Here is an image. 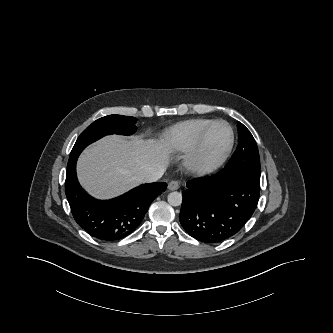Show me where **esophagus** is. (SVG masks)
Returning a JSON list of instances; mask_svg holds the SVG:
<instances>
[{
	"label": "esophagus",
	"instance_id": "obj_1",
	"mask_svg": "<svg viewBox=\"0 0 333 333\" xmlns=\"http://www.w3.org/2000/svg\"><path fill=\"white\" fill-rule=\"evenodd\" d=\"M180 184L177 180H173L168 184V189L170 191L177 190L179 188Z\"/></svg>",
	"mask_w": 333,
	"mask_h": 333
}]
</instances>
